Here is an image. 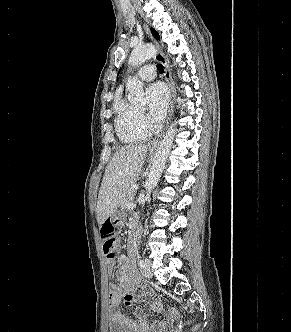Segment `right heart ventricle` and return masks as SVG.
<instances>
[{"label": "right heart ventricle", "mask_w": 291, "mask_h": 332, "mask_svg": "<svg viewBox=\"0 0 291 332\" xmlns=\"http://www.w3.org/2000/svg\"><path fill=\"white\" fill-rule=\"evenodd\" d=\"M115 128L119 139L124 143H136L148 137V131L139 123V111L122 97L114 102Z\"/></svg>", "instance_id": "1"}]
</instances>
